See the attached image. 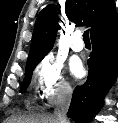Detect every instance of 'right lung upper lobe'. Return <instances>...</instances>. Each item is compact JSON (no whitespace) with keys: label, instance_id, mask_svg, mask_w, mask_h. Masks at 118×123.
I'll list each match as a JSON object with an SVG mask.
<instances>
[{"label":"right lung upper lobe","instance_id":"cb5924a9","mask_svg":"<svg viewBox=\"0 0 118 123\" xmlns=\"http://www.w3.org/2000/svg\"><path fill=\"white\" fill-rule=\"evenodd\" d=\"M57 9V6L48 5L39 13L26 70L38 64L52 49L58 29ZM65 11L67 17L77 26L86 25L91 28V40L118 26V15L113 0H66Z\"/></svg>","mask_w":118,"mask_h":123}]
</instances>
